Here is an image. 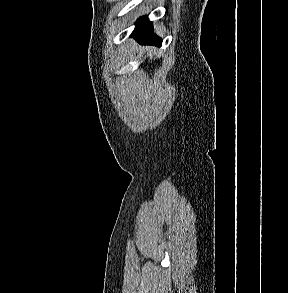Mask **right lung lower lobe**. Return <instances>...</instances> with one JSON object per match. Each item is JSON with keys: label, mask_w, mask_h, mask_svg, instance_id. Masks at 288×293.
I'll use <instances>...</instances> for the list:
<instances>
[{"label": "right lung lower lobe", "mask_w": 288, "mask_h": 293, "mask_svg": "<svg viewBox=\"0 0 288 293\" xmlns=\"http://www.w3.org/2000/svg\"><path fill=\"white\" fill-rule=\"evenodd\" d=\"M131 36L144 44L159 46L162 43L161 38L152 33L151 23L147 16H143L137 21L135 30Z\"/></svg>", "instance_id": "98d812e1"}]
</instances>
